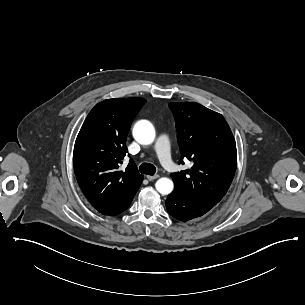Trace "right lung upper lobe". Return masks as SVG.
<instances>
[{"label": "right lung upper lobe", "instance_id": "obj_1", "mask_svg": "<svg viewBox=\"0 0 305 305\" xmlns=\"http://www.w3.org/2000/svg\"><path fill=\"white\" fill-rule=\"evenodd\" d=\"M146 102L143 98L107 99L88 114L75 141L73 164L78 184L100 213L131 198L143 176L130 160L125 171L119 164L128 152L130 125Z\"/></svg>", "mask_w": 305, "mask_h": 305}]
</instances>
